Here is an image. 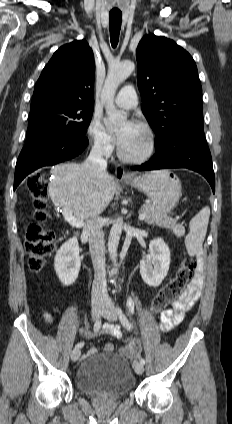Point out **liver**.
Listing matches in <instances>:
<instances>
[{"mask_svg":"<svg viewBox=\"0 0 232 424\" xmlns=\"http://www.w3.org/2000/svg\"><path fill=\"white\" fill-rule=\"evenodd\" d=\"M52 173L54 178L49 183L52 202L82 221L101 214L116 192L111 175L97 177L85 163H60Z\"/></svg>","mask_w":232,"mask_h":424,"instance_id":"obj_1","label":"liver"}]
</instances>
